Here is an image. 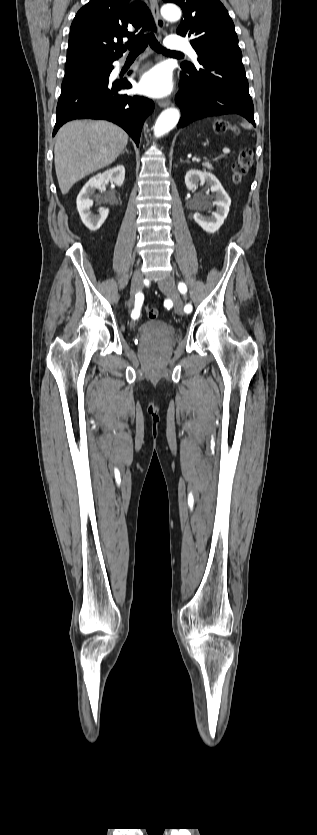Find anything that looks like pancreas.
I'll return each instance as SVG.
<instances>
[{
	"instance_id": "obj_1",
	"label": "pancreas",
	"mask_w": 317,
	"mask_h": 835,
	"mask_svg": "<svg viewBox=\"0 0 317 835\" xmlns=\"http://www.w3.org/2000/svg\"><path fill=\"white\" fill-rule=\"evenodd\" d=\"M203 166H204L205 168L210 169V170H212V169H213L212 165H211L208 161L204 162V163H203Z\"/></svg>"
}]
</instances>
